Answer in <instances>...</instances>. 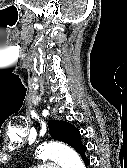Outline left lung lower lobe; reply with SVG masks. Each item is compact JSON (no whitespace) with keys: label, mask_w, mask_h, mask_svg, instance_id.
<instances>
[{"label":"left lung lower lobe","mask_w":127,"mask_h":168,"mask_svg":"<svg viewBox=\"0 0 127 168\" xmlns=\"http://www.w3.org/2000/svg\"><path fill=\"white\" fill-rule=\"evenodd\" d=\"M86 150H87V147L82 144L76 151L81 155L85 165L88 166L90 164V160L85 155Z\"/></svg>","instance_id":"left-lung-lower-lobe-1"}]
</instances>
